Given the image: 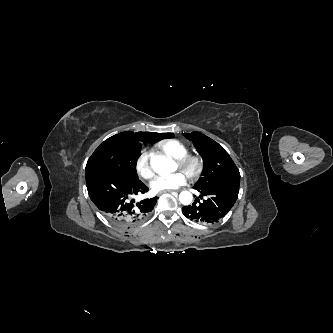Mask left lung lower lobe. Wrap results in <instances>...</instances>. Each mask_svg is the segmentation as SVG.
I'll return each instance as SVG.
<instances>
[{
  "mask_svg": "<svg viewBox=\"0 0 333 333\" xmlns=\"http://www.w3.org/2000/svg\"><path fill=\"white\" fill-rule=\"evenodd\" d=\"M196 190L201 192L202 196H207L208 198L203 202H199V199L196 198V201L192 205L184 206L182 212L191 220L207 224L219 221L230 211L237 200L239 185L232 184L211 189ZM225 194H228L229 200L226 203L217 202L219 197Z\"/></svg>",
  "mask_w": 333,
  "mask_h": 333,
  "instance_id": "left-lung-lower-lobe-1",
  "label": "left lung lower lobe"
}]
</instances>
